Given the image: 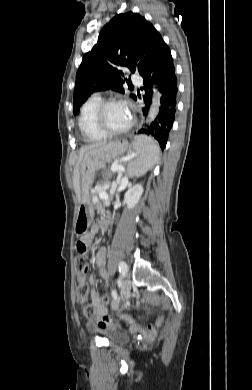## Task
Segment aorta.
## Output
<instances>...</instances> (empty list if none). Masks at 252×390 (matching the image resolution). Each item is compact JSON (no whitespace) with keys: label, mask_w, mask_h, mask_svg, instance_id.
<instances>
[{"label":"aorta","mask_w":252,"mask_h":390,"mask_svg":"<svg viewBox=\"0 0 252 390\" xmlns=\"http://www.w3.org/2000/svg\"><path fill=\"white\" fill-rule=\"evenodd\" d=\"M159 106H160V94L157 89H154L152 105L148 113L147 123H151L152 121H154L155 117L159 112Z\"/></svg>","instance_id":"1"}]
</instances>
